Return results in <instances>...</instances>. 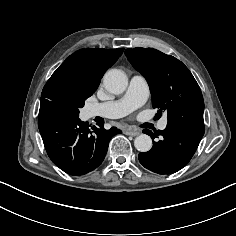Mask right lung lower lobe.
Here are the masks:
<instances>
[{
	"label": "right lung lower lobe",
	"mask_w": 236,
	"mask_h": 236,
	"mask_svg": "<svg viewBox=\"0 0 236 236\" xmlns=\"http://www.w3.org/2000/svg\"><path fill=\"white\" fill-rule=\"evenodd\" d=\"M39 130L50 159L73 176L97 168L105 158L110 139L121 133L116 127L89 129L78 114L56 102L41 103Z\"/></svg>",
	"instance_id": "98d812e1"
}]
</instances>
